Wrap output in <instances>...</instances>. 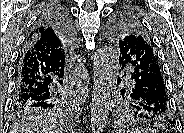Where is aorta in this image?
Returning a JSON list of instances; mask_svg holds the SVG:
<instances>
[{
    "label": "aorta",
    "instance_id": "762f6f07",
    "mask_svg": "<svg viewBox=\"0 0 184 133\" xmlns=\"http://www.w3.org/2000/svg\"><path fill=\"white\" fill-rule=\"evenodd\" d=\"M114 64L115 56L111 48L101 47L96 51L93 63L90 114V125L93 133H101L108 120Z\"/></svg>",
    "mask_w": 184,
    "mask_h": 133
}]
</instances>
